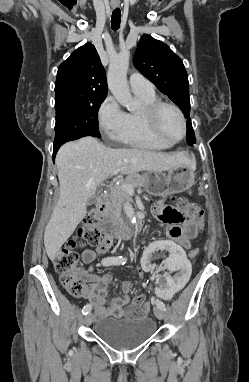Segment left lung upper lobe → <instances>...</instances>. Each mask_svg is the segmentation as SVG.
<instances>
[{"label": "left lung upper lobe", "mask_w": 249, "mask_h": 382, "mask_svg": "<svg viewBox=\"0 0 249 382\" xmlns=\"http://www.w3.org/2000/svg\"><path fill=\"white\" fill-rule=\"evenodd\" d=\"M134 66L167 95L187 118L188 145L193 146L195 135L190 114L189 82L182 60L161 41L150 35L141 37L133 57Z\"/></svg>", "instance_id": "5c2ea615"}]
</instances>
